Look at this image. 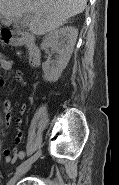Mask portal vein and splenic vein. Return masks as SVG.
<instances>
[{
  "label": "portal vein and splenic vein",
  "instance_id": "1",
  "mask_svg": "<svg viewBox=\"0 0 119 185\" xmlns=\"http://www.w3.org/2000/svg\"><path fill=\"white\" fill-rule=\"evenodd\" d=\"M22 25L25 26V25H29V23L27 21H23L22 22Z\"/></svg>",
  "mask_w": 119,
  "mask_h": 185
}]
</instances>
